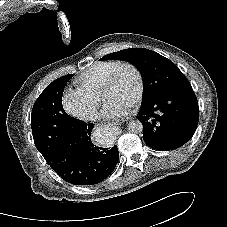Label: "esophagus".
Returning <instances> with one entry per match:
<instances>
[{"label":"esophagus","mask_w":227,"mask_h":227,"mask_svg":"<svg viewBox=\"0 0 227 227\" xmlns=\"http://www.w3.org/2000/svg\"><path fill=\"white\" fill-rule=\"evenodd\" d=\"M110 127H111V129H115V130H118V129H119V127H118V126H113V124H112V125H110Z\"/></svg>","instance_id":"34e87169"}]
</instances>
